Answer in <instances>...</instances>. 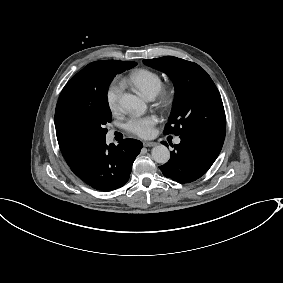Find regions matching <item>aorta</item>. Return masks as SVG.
<instances>
[{
  "instance_id": "1",
  "label": "aorta",
  "mask_w": 283,
  "mask_h": 283,
  "mask_svg": "<svg viewBox=\"0 0 283 283\" xmlns=\"http://www.w3.org/2000/svg\"><path fill=\"white\" fill-rule=\"evenodd\" d=\"M120 105L137 114H143L146 110V104L137 96L125 93L120 98ZM152 159L159 164H165L170 159V151L165 145H157L151 151Z\"/></svg>"
}]
</instances>
